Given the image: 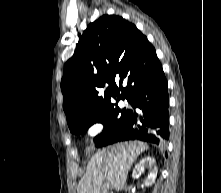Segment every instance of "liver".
<instances>
[{
  "mask_svg": "<svg viewBox=\"0 0 221 193\" xmlns=\"http://www.w3.org/2000/svg\"><path fill=\"white\" fill-rule=\"evenodd\" d=\"M149 146L140 141L118 143L97 151L88 162L79 182L78 193H103L105 188L121 191L128 171L137 157Z\"/></svg>",
  "mask_w": 221,
  "mask_h": 193,
  "instance_id": "obj_1",
  "label": "liver"
}]
</instances>
